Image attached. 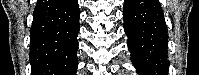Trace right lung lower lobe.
Masks as SVG:
<instances>
[{"instance_id":"right-lung-lower-lobe-1","label":"right lung lower lobe","mask_w":199,"mask_h":75,"mask_svg":"<svg viewBox=\"0 0 199 75\" xmlns=\"http://www.w3.org/2000/svg\"><path fill=\"white\" fill-rule=\"evenodd\" d=\"M77 0H38L30 29L32 75H76Z\"/></svg>"}]
</instances>
